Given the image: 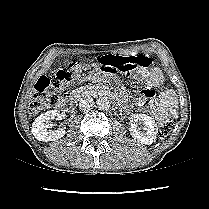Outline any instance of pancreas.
<instances>
[{
	"label": "pancreas",
	"instance_id": "cf45deb5",
	"mask_svg": "<svg viewBox=\"0 0 209 209\" xmlns=\"http://www.w3.org/2000/svg\"><path fill=\"white\" fill-rule=\"evenodd\" d=\"M75 92L79 96L96 95L99 93V89L96 86L86 85L83 87H79L75 90Z\"/></svg>",
	"mask_w": 209,
	"mask_h": 209
}]
</instances>
